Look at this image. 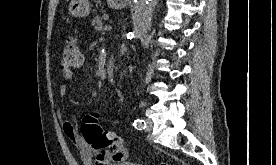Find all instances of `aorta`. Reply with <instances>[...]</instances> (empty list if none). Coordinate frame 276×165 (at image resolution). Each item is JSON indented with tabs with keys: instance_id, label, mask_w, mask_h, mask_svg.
Here are the masks:
<instances>
[{
	"instance_id": "1",
	"label": "aorta",
	"mask_w": 276,
	"mask_h": 165,
	"mask_svg": "<svg viewBox=\"0 0 276 165\" xmlns=\"http://www.w3.org/2000/svg\"><path fill=\"white\" fill-rule=\"evenodd\" d=\"M158 0H134L136 31L146 34L151 28L152 16Z\"/></svg>"
}]
</instances>
